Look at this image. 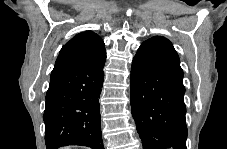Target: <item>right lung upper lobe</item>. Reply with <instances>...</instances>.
Returning a JSON list of instances; mask_svg holds the SVG:
<instances>
[{
    "instance_id": "obj_1",
    "label": "right lung upper lobe",
    "mask_w": 227,
    "mask_h": 149,
    "mask_svg": "<svg viewBox=\"0 0 227 149\" xmlns=\"http://www.w3.org/2000/svg\"><path fill=\"white\" fill-rule=\"evenodd\" d=\"M106 59L103 40L92 31L75 35L60 50L51 78L91 67Z\"/></svg>"
}]
</instances>
